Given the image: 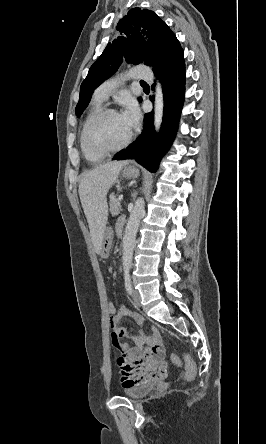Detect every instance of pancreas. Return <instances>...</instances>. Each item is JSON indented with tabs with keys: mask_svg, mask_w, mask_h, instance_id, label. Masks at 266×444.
<instances>
[{
	"mask_svg": "<svg viewBox=\"0 0 266 444\" xmlns=\"http://www.w3.org/2000/svg\"><path fill=\"white\" fill-rule=\"evenodd\" d=\"M121 204L119 199L112 194L110 196V212L113 216L118 215L120 213Z\"/></svg>",
	"mask_w": 266,
	"mask_h": 444,
	"instance_id": "pancreas-1",
	"label": "pancreas"
}]
</instances>
